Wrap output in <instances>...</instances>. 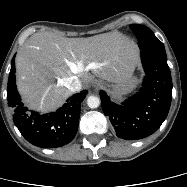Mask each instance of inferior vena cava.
I'll return each mask as SVG.
<instances>
[{
  "mask_svg": "<svg viewBox=\"0 0 187 187\" xmlns=\"http://www.w3.org/2000/svg\"><path fill=\"white\" fill-rule=\"evenodd\" d=\"M81 81L77 76H70L67 81H66V87L71 91V92H77L81 89Z\"/></svg>",
  "mask_w": 187,
  "mask_h": 187,
  "instance_id": "1",
  "label": "inferior vena cava"
}]
</instances>
